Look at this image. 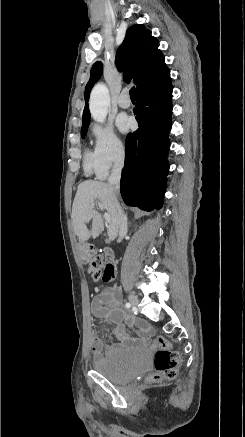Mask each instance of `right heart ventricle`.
<instances>
[{
  "label": "right heart ventricle",
  "mask_w": 245,
  "mask_h": 437,
  "mask_svg": "<svg viewBox=\"0 0 245 437\" xmlns=\"http://www.w3.org/2000/svg\"><path fill=\"white\" fill-rule=\"evenodd\" d=\"M84 169L87 173H91L95 171V164L93 161L92 154L90 152H86L84 156Z\"/></svg>",
  "instance_id": "1"
}]
</instances>
